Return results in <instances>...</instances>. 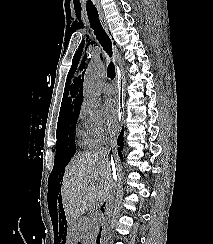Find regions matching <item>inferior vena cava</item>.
<instances>
[{"label": "inferior vena cava", "instance_id": "602c4592", "mask_svg": "<svg viewBox=\"0 0 213 244\" xmlns=\"http://www.w3.org/2000/svg\"><path fill=\"white\" fill-rule=\"evenodd\" d=\"M111 159V163L113 164L114 162V160H113V158L111 157L110 158ZM111 170H112V176H111V183H112V189H114V188H118V182H117V180H118V173H119V170L118 169H116V167L114 166V165H112L111 166ZM114 194L115 193H113V192H111L110 194H109V197H108V200H107V203H108V205H109V214H111L112 215V213H113V210L115 209V207H116V204H117V201H116V199L114 198Z\"/></svg>", "mask_w": 213, "mask_h": 244}]
</instances>
